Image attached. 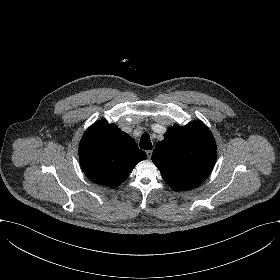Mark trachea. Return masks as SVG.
Returning <instances> with one entry per match:
<instances>
[{
	"instance_id": "obj_1",
	"label": "trachea",
	"mask_w": 280,
	"mask_h": 280,
	"mask_svg": "<svg viewBox=\"0 0 280 280\" xmlns=\"http://www.w3.org/2000/svg\"><path fill=\"white\" fill-rule=\"evenodd\" d=\"M140 147L144 150H151L152 149V143H151L150 136L148 135V133H144L141 136Z\"/></svg>"
}]
</instances>
